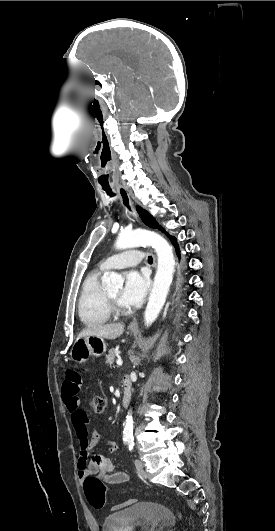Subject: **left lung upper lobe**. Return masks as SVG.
<instances>
[{"mask_svg": "<svg viewBox=\"0 0 275 531\" xmlns=\"http://www.w3.org/2000/svg\"><path fill=\"white\" fill-rule=\"evenodd\" d=\"M136 209H137V212L139 213L141 219L143 220V222L147 226H149L151 228H157V229L163 231V229L158 225V223L155 221V219L147 211H145L144 209H142L139 206H137Z\"/></svg>", "mask_w": 275, "mask_h": 531, "instance_id": "1", "label": "left lung upper lobe"}]
</instances>
